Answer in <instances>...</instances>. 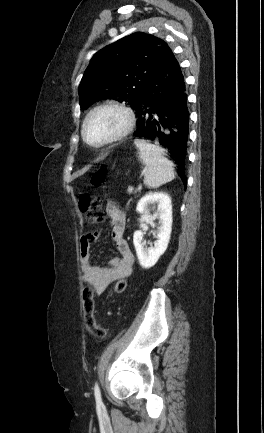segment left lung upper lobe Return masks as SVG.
<instances>
[{
	"mask_svg": "<svg viewBox=\"0 0 264 433\" xmlns=\"http://www.w3.org/2000/svg\"><path fill=\"white\" fill-rule=\"evenodd\" d=\"M172 54L162 39L136 32L98 51L79 86L80 107L101 99L129 103L133 108L143 90Z\"/></svg>",
	"mask_w": 264,
	"mask_h": 433,
	"instance_id": "obj_1",
	"label": "left lung upper lobe"
}]
</instances>
